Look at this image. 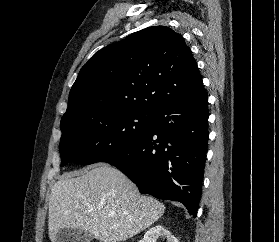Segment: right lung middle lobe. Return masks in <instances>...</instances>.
<instances>
[{
    "label": "right lung middle lobe",
    "mask_w": 279,
    "mask_h": 242,
    "mask_svg": "<svg viewBox=\"0 0 279 242\" xmlns=\"http://www.w3.org/2000/svg\"><path fill=\"white\" fill-rule=\"evenodd\" d=\"M152 112L123 110L93 119L73 118L61 125V165H89L125 150L150 130Z\"/></svg>",
    "instance_id": "dd1d6c3e"
}]
</instances>
